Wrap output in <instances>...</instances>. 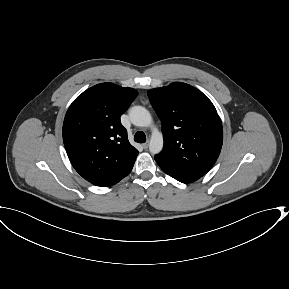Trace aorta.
<instances>
[{
  "label": "aorta",
  "mask_w": 289,
  "mask_h": 289,
  "mask_svg": "<svg viewBox=\"0 0 289 289\" xmlns=\"http://www.w3.org/2000/svg\"><path fill=\"white\" fill-rule=\"evenodd\" d=\"M130 120L133 125L139 127H149L152 124V117L149 111L142 106H133L129 110ZM163 135L157 129H154L149 143L151 154H158L163 148Z\"/></svg>",
  "instance_id": "obj_1"
}]
</instances>
